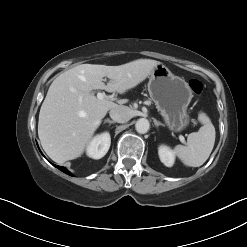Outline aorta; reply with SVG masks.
Listing matches in <instances>:
<instances>
[{
	"instance_id": "762f6f07",
	"label": "aorta",
	"mask_w": 247,
	"mask_h": 247,
	"mask_svg": "<svg viewBox=\"0 0 247 247\" xmlns=\"http://www.w3.org/2000/svg\"><path fill=\"white\" fill-rule=\"evenodd\" d=\"M150 124L146 118H140L135 124L136 131L138 133L144 134L149 130Z\"/></svg>"
}]
</instances>
